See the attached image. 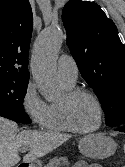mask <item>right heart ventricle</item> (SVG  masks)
Masks as SVG:
<instances>
[{
	"instance_id": "1",
	"label": "right heart ventricle",
	"mask_w": 125,
	"mask_h": 167,
	"mask_svg": "<svg viewBox=\"0 0 125 167\" xmlns=\"http://www.w3.org/2000/svg\"><path fill=\"white\" fill-rule=\"evenodd\" d=\"M63 83L66 90L75 88V83H67L65 81ZM44 128L48 131L60 133L71 131L63 119L59 102L50 104L49 117Z\"/></svg>"
}]
</instances>
